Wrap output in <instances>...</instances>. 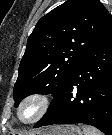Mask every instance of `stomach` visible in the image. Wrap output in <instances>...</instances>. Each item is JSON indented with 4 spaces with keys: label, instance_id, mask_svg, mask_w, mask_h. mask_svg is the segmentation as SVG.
<instances>
[{
    "label": "stomach",
    "instance_id": "0dacf381",
    "mask_svg": "<svg viewBox=\"0 0 112 135\" xmlns=\"http://www.w3.org/2000/svg\"><path fill=\"white\" fill-rule=\"evenodd\" d=\"M28 135H83V132L75 125H61L46 129L43 134L34 132Z\"/></svg>",
    "mask_w": 112,
    "mask_h": 135
}]
</instances>
